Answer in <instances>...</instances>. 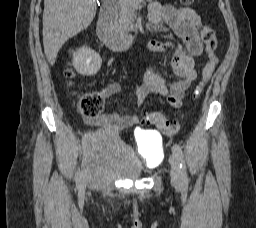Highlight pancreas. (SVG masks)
Returning <instances> with one entry per match:
<instances>
[{"mask_svg":"<svg viewBox=\"0 0 256 228\" xmlns=\"http://www.w3.org/2000/svg\"><path fill=\"white\" fill-rule=\"evenodd\" d=\"M137 5L130 0L117 3L113 14L112 27L117 33H128L135 29V9Z\"/></svg>","mask_w":256,"mask_h":228,"instance_id":"1","label":"pancreas"}]
</instances>
